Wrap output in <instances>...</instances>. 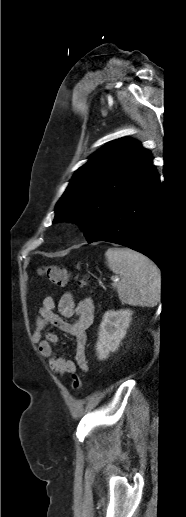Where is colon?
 Wrapping results in <instances>:
<instances>
[{"label":"colon","instance_id":"1","mask_svg":"<svg viewBox=\"0 0 186 517\" xmlns=\"http://www.w3.org/2000/svg\"><path fill=\"white\" fill-rule=\"evenodd\" d=\"M39 274L46 277L52 284L58 286L66 285L71 279V273L66 267L60 266H44L39 270ZM81 285H85V281H80ZM71 386L73 390L78 391L82 387V378L76 374H72Z\"/></svg>","mask_w":186,"mask_h":517}]
</instances>
